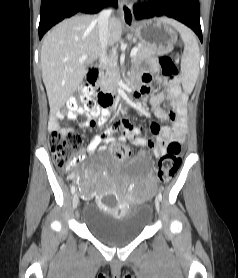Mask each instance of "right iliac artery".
Wrapping results in <instances>:
<instances>
[{
	"instance_id": "right-iliac-artery-1",
	"label": "right iliac artery",
	"mask_w": 238,
	"mask_h": 278,
	"mask_svg": "<svg viewBox=\"0 0 238 278\" xmlns=\"http://www.w3.org/2000/svg\"><path fill=\"white\" fill-rule=\"evenodd\" d=\"M71 192H72V194L75 193V186L74 185L71 186Z\"/></svg>"
}]
</instances>
